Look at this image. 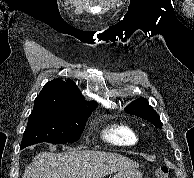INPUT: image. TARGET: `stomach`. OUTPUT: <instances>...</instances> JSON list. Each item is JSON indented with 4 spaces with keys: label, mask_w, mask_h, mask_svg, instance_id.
Returning a JSON list of instances; mask_svg holds the SVG:
<instances>
[{
    "label": "stomach",
    "mask_w": 194,
    "mask_h": 178,
    "mask_svg": "<svg viewBox=\"0 0 194 178\" xmlns=\"http://www.w3.org/2000/svg\"><path fill=\"white\" fill-rule=\"evenodd\" d=\"M113 178H142V174L137 169H129L119 171Z\"/></svg>",
    "instance_id": "obj_1"
}]
</instances>
